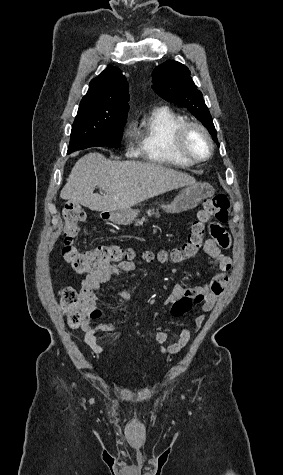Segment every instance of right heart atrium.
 <instances>
[{
	"label": "right heart atrium",
	"mask_w": 283,
	"mask_h": 475,
	"mask_svg": "<svg viewBox=\"0 0 283 475\" xmlns=\"http://www.w3.org/2000/svg\"><path fill=\"white\" fill-rule=\"evenodd\" d=\"M123 136H124V151L126 156H133L137 153V148L132 142L131 138V127L129 125H125L123 128Z\"/></svg>",
	"instance_id": "d8ad5b80"
}]
</instances>
